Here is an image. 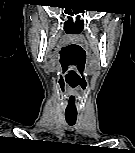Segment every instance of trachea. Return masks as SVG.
<instances>
[{
  "instance_id": "trachea-1",
  "label": "trachea",
  "mask_w": 135,
  "mask_h": 153,
  "mask_svg": "<svg viewBox=\"0 0 135 153\" xmlns=\"http://www.w3.org/2000/svg\"><path fill=\"white\" fill-rule=\"evenodd\" d=\"M65 118H66L68 125L73 126L77 119V113L65 112Z\"/></svg>"
}]
</instances>
